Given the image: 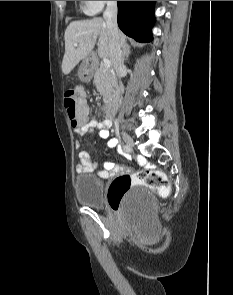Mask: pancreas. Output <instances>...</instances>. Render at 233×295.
<instances>
[{"label":"pancreas","mask_w":233,"mask_h":295,"mask_svg":"<svg viewBox=\"0 0 233 295\" xmlns=\"http://www.w3.org/2000/svg\"><path fill=\"white\" fill-rule=\"evenodd\" d=\"M94 85L105 100H110L115 92L116 81L113 73L105 67H99L94 75Z\"/></svg>","instance_id":"1"}]
</instances>
